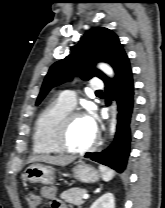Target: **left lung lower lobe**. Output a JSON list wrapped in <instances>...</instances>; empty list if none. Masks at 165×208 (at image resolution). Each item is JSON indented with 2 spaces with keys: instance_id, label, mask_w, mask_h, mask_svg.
<instances>
[{
  "instance_id": "1",
  "label": "left lung lower lobe",
  "mask_w": 165,
  "mask_h": 208,
  "mask_svg": "<svg viewBox=\"0 0 165 208\" xmlns=\"http://www.w3.org/2000/svg\"><path fill=\"white\" fill-rule=\"evenodd\" d=\"M115 73L114 79L104 80L106 103L109 104L115 97L118 104L114 141L102 152L86 153L85 157L123 173L127 168L135 123L134 85L127 56L119 63Z\"/></svg>"
}]
</instances>
